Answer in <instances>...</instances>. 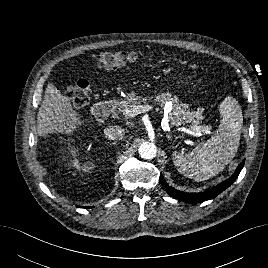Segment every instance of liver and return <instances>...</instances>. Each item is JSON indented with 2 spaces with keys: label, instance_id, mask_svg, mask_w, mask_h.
I'll list each match as a JSON object with an SVG mask.
<instances>
[{
  "label": "liver",
  "instance_id": "obj_1",
  "mask_svg": "<svg viewBox=\"0 0 268 268\" xmlns=\"http://www.w3.org/2000/svg\"><path fill=\"white\" fill-rule=\"evenodd\" d=\"M83 123L73 109L70 98L49 83L37 114L38 136L49 133L71 134Z\"/></svg>",
  "mask_w": 268,
  "mask_h": 268
}]
</instances>
